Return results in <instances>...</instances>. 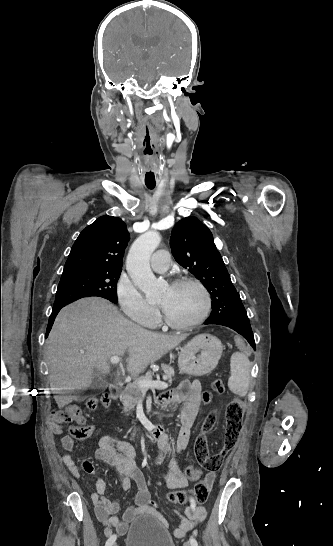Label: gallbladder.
Returning a JSON list of instances; mask_svg holds the SVG:
<instances>
[{
  "instance_id": "obj_1",
  "label": "gallbladder",
  "mask_w": 333,
  "mask_h": 546,
  "mask_svg": "<svg viewBox=\"0 0 333 546\" xmlns=\"http://www.w3.org/2000/svg\"><path fill=\"white\" fill-rule=\"evenodd\" d=\"M107 386H108V382L104 378L94 375L92 378L91 385L89 387V391L91 393L97 392V391H103L107 388Z\"/></svg>"
}]
</instances>
